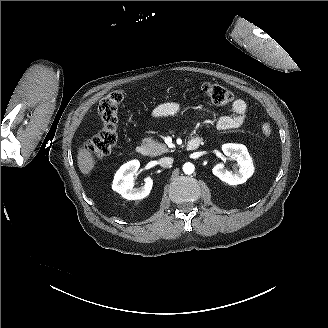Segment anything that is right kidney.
Instances as JSON below:
<instances>
[{
    "label": "right kidney",
    "instance_id": "ca27d5eb",
    "mask_svg": "<svg viewBox=\"0 0 328 328\" xmlns=\"http://www.w3.org/2000/svg\"><path fill=\"white\" fill-rule=\"evenodd\" d=\"M139 167V162L133 160L121 166L115 175L113 189L127 200L146 198L152 190L154 181L150 176L144 179V185L141 188H134V176L137 174Z\"/></svg>",
    "mask_w": 328,
    "mask_h": 328
}]
</instances>
